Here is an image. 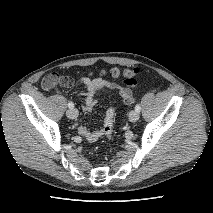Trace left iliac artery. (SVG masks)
Returning <instances> with one entry per match:
<instances>
[{"label":"left iliac artery","instance_id":"obj_1","mask_svg":"<svg viewBox=\"0 0 213 213\" xmlns=\"http://www.w3.org/2000/svg\"><path fill=\"white\" fill-rule=\"evenodd\" d=\"M135 110H136L137 112H140V111H141V106H140V104H137V105L135 106Z\"/></svg>","mask_w":213,"mask_h":213}]
</instances>
